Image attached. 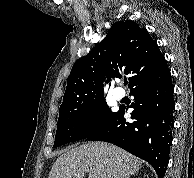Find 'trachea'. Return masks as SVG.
Here are the masks:
<instances>
[{
    "instance_id": "obj_1",
    "label": "trachea",
    "mask_w": 194,
    "mask_h": 178,
    "mask_svg": "<svg viewBox=\"0 0 194 178\" xmlns=\"http://www.w3.org/2000/svg\"><path fill=\"white\" fill-rule=\"evenodd\" d=\"M124 85H127V82H124Z\"/></svg>"
}]
</instances>
